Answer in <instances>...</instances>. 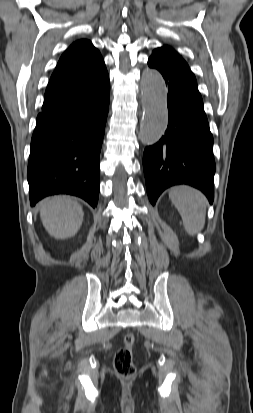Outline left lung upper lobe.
Instances as JSON below:
<instances>
[{
    "label": "left lung upper lobe",
    "mask_w": 253,
    "mask_h": 413,
    "mask_svg": "<svg viewBox=\"0 0 253 413\" xmlns=\"http://www.w3.org/2000/svg\"><path fill=\"white\" fill-rule=\"evenodd\" d=\"M151 57L156 58L165 63L189 68L185 60L174 49H172L169 46H163L161 48L155 49Z\"/></svg>",
    "instance_id": "left-lung-upper-lobe-1"
}]
</instances>
